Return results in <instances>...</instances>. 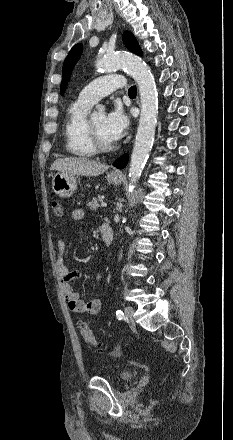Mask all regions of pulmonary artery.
<instances>
[{
  "label": "pulmonary artery",
  "mask_w": 233,
  "mask_h": 440,
  "mask_svg": "<svg viewBox=\"0 0 233 440\" xmlns=\"http://www.w3.org/2000/svg\"><path fill=\"white\" fill-rule=\"evenodd\" d=\"M125 86V78L119 74H110L99 77L90 82L80 92L81 101L94 104L104 96L109 95L113 91Z\"/></svg>",
  "instance_id": "1"
}]
</instances>
